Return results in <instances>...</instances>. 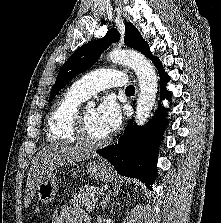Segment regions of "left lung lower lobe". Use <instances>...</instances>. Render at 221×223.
I'll list each match as a JSON object with an SVG mask.
<instances>
[{"label":"left lung lower lobe","mask_w":221,"mask_h":223,"mask_svg":"<svg viewBox=\"0 0 221 223\" xmlns=\"http://www.w3.org/2000/svg\"><path fill=\"white\" fill-rule=\"evenodd\" d=\"M154 64L160 75L161 99L165 96L169 98L166 91L169 76L164 72L158 59ZM165 118L166 109L160 105L147 125L139 127L131 120L118 143L96 152L108 159L120 175L138 178L151 188L157 176L158 148L168 123Z\"/></svg>","instance_id":"1"}]
</instances>
